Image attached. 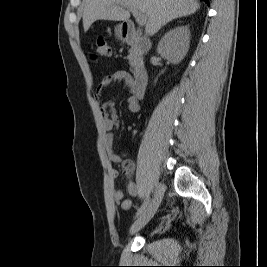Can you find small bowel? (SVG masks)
Returning a JSON list of instances; mask_svg holds the SVG:
<instances>
[{
  "label": "small bowel",
  "instance_id": "c3829d8e",
  "mask_svg": "<svg viewBox=\"0 0 267 267\" xmlns=\"http://www.w3.org/2000/svg\"><path fill=\"white\" fill-rule=\"evenodd\" d=\"M116 81H121L126 84L131 92L126 99L127 110L130 113L138 112V98L133 94L132 91L134 81L130 74L124 70L117 71L101 80V83L98 86L95 94L96 99H101L103 89ZM100 111L102 116V127L105 132L103 137V146L107 153V157L112 163H122L126 175L130 176L134 171V163L129 160H122L120 155L115 151V136L113 134V130L119 126L120 122L114 109V103L112 101L103 102L100 106ZM109 176L113 180L116 179L119 176L118 170L111 168L109 170ZM127 191L131 196H137L139 193V187L137 183L131 178H129L127 181ZM113 199L115 203L120 204L124 210H129L132 208L131 200L124 199V193L122 190H114Z\"/></svg>",
  "mask_w": 267,
  "mask_h": 267
}]
</instances>
